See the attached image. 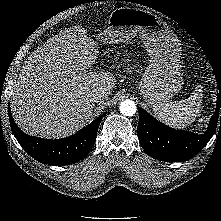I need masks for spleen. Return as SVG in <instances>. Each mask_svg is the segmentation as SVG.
<instances>
[{
    "mask_svg": "<svg viewBox=\"0 0 221 221\" xmlns=\"http://www.w3.org/2000/svg\"><path fill=\"white\" fill-rule=\"evenodd\" d=\"M202 98V90L197 88L189 98L154 106L153 111L156 117L166 125L186 128L195 121L201 108Z\"/></svg>",
    "mask_w": 221,
    "mask_h": 221,
    "instance_id": "obj_1",
    "label": "spleen"
}]
</instances>
